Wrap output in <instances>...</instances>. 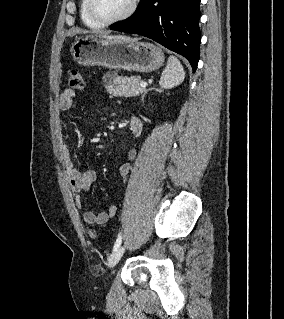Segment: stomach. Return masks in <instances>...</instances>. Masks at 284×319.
Listing matches in <instances>:
<instances>
[{
	"instance_id": "obj_1",
	"label": "stomach",
	"mask_w": 284,
	"mask_h": 319,
	"mask_svg": "<svg viewBox=\"0 0 284 319\" xmlns=\"http://www.w3.org/2000/svg\"><path fill=\"white\" fill-rule=\"evenodd\" d=\"M73 59L83 66H103L149 73L159 69L165 56L152 43L85 36L75 39L70 49Z\"/></svg>"
}]
</instances>
